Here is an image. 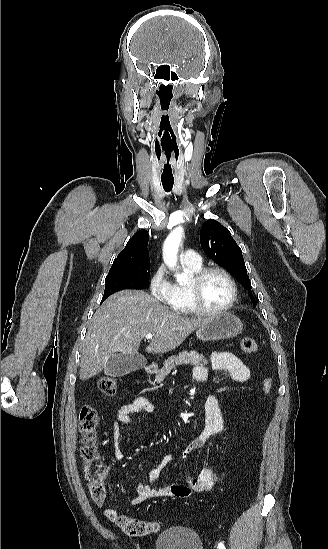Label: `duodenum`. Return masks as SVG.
I'll list each match as a JSON object with an SVG mask.
<instances>
[{"mask_svg": "<svg viewBox=\"0 0 328 549\" xmlns=\"http://www.w3.org/2000/svg\"><path fill=\"white\" fill-rule=\"evenodd\" d=\"M145 371H146V373H148V374H153V373L156 372V366L153 365V364H149V365H147V366L145 367Z\"/></svg>", "mask_w": 328, "mask_h": 549, "instance_id": "obj_1", "label": "duodenum"}]
</instances>
